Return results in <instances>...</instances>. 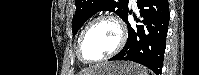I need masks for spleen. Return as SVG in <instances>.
Instances as JSON below:
<instances>
[{
	"label": "spleen",
	"mask_w": 199,
	"mask_h": 75,
	"mask_svg": "<svg viewBox=\"0 0 199 75\" xmlns=\"http://www.w3.org/2000/svg\"><path fill=\"white\" fill-rule=\"evenodd\" d=\"M144 75H148V73L145 71Z\"/></svg>",
	"instance_id": "spleen-1"
}]
</instances>
